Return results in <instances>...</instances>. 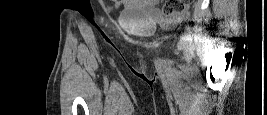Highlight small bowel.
<instances>
[{
	"label": "small bowel",
	"mask_w": 267,
	"mask_h": 115,
	"mask_svg": "<svg viewBox=\"0 0 267 115\" xmlns=\"http://www.w3.org/2000/svg\"><path fill=\"white\" fill-rule=\"evenodd\" d=\"M158 0H127L125 4L128 8L146 10L152 17L161 18L159 9L157 8ZM182 13L175 15V19H179Z\"/></svg>",
	"instance_id": "small-bowel-1"
}]
</instances>
